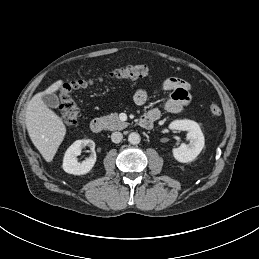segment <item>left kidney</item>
<instances>
[{
    "label": "left kidney",
    "instance_id": "left-kidney-1",
    "mask_svg": "<svg viewBox=\"0 0 259 259\" xmlns=\"http://www.w3.org/2000/svg\"><path fill=\"white\" fill-rule=\"evenodd\" d=\"M171 129L187 131L189 144H181L178 148L173 149V157L181 162L187 163L193 161L204 148V135L200 126L192 120H176L170 124Z\"/></svg>",
    "mask_w": 259,
    "mask_h": 259
}]
</instances>
